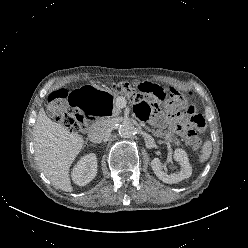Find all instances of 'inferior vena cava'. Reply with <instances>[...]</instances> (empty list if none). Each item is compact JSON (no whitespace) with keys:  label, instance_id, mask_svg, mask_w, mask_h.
<instances>
[{"label":"inferior vena cava","instance_id":"inferior-vena-cava-1","mask_svg":"<svg viewBox=\"0 0 248 248\" xmlns=\"http://www.w3.org/2000/svg\"><path fill=\"white\" fill-rule=\"evenodd\" d=\"M112 131V124L109 120L96 122L89 130L88 138L92 143H101Z\"/></svg>","mask_w":248,"mask_h":248}]
</instances>
